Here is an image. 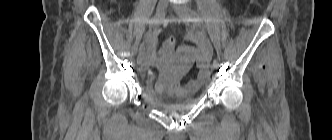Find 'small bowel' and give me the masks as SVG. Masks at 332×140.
I'll use <instances>...</instances> for the list:
<instances>
[{
  "label": "small bowel",
  "mask_w": 332,
  "mask_h": 140,
  "mask_svg": "<svg viewBox=\"0 0 332 140\" xmlns=\"http://www.w3.org/2000/svg\"><path fill=\"white\" fill-rule=\"evenodd\" d=\"M185 40L192 41L196 46L189 44L180 45L177 48L178 53H190L194 56L198 63L199 74L197 79L192 80L194 83H203L209 75V61L212 56V50L210 45L202 38L197 37L191 33L185 35ZM149 53L145 56L142 65V71L147 72L148 68L152 65L157 64L160 52L156 49V41L151 38L149 44ZM149 79H152V73H148ZM180 82L176 78H171L165 71H161L159 78L155 84V89L159 93L164 94H179L182 90Z\"/></svg>",
  "instance_id": "1"
}]
</instances>
